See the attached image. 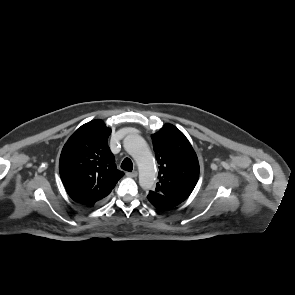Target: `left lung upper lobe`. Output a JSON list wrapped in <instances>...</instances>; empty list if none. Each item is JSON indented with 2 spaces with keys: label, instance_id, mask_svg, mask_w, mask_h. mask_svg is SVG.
Wrapping results in <instances>:
<instances>
[{
  "label": "left lung upper lobe",
  "instance_id": "5c2ea615",
  "mask_svg": "<svg viewBox=\"0 0 295 295\" xmlns=\"http://www.w3.org/2000/svg\"><path fill=\"white\" fill-rule=\"evenodd\" d=\"M159 164L158 183L154 192L185 201L199 179L197 155L185 135L174 125L165 124L152 135Z\"/></svg>",
  "mask_w": 295,
  "mask_h": 295
}]
</instances>
